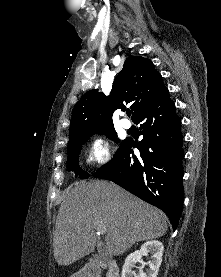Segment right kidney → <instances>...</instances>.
<instances>
[{"mask_svg": "<svg viewBox=\"0 0 221 277\" xmlns=\"http://www.w3.org/2000/svg\"><path fill=\"white\" fill-rule=\"evenodd\" d=\"M164 247L158 240H150L145 242L140 250H137L127 256L122 268L121 277H157L159 267L162 262ZM150 254L149 269L144 272L142 268L139 269L138 275H135L133 268L135 264L143 257Z\"/></svg>", "mask_w": 221, "mask_h": 277, "instance_id": "1", "label": "right kidney"}]
</instances>
